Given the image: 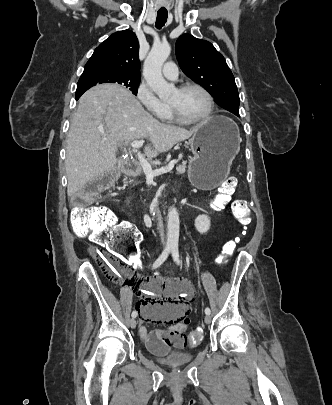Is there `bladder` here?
<instances>
[{"mask_svg": "<svg viewBox=\"0 0 332 405\" xmlns=\"http://www.w3.org/2000/svg\"><path fill=\"white\" fill-rule=\"evenodd\" d=\"M146 349L150 354L156 356L159 362L167 365H184L192 361L194 358L193 353L179 351L170 346H164L163 351L160 353L148 345H146Z\"/></svg>", "mask_w": 332, "mask_h": 405, "instance_id": "1", "label": "bladder"}]
</instances>
